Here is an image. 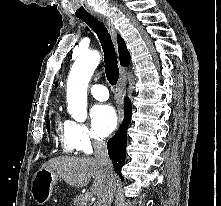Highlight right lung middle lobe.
Here are the masks:
<instances>
[{"label":"right lung middle lobe","mask_w":221,"mask_h":206,"mask_svg":"<svg viewBox=\"0 0 221 206\" xmlns=\"http://www.w3.org/2000/svg\"><path fill=\"white\" fill-rule=\"evenodd\" d=\"M48 117V116H47ZM48 132H49V121L47 122Z\"/></svg>","instance_id":"1"}]
</instances>
